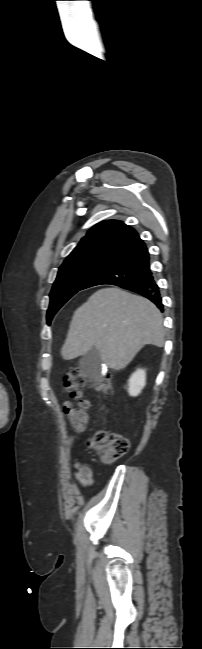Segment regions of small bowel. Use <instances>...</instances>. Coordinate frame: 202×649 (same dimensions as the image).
Instances as JSON below:
<instances>
[{
  "label": "small bowel",
  "instance_id": "c3829d8e",
  "mask_svg": "<svg viewBox=\"0 0 202 649\" xmlns=\"http://www.w3.org/2000/svg\"><path fill=\"white\" fill-rule=\"evenodd\" d=\"M74 439L75 436L70 435L68 437L69 444H71ZM73 466L75 469V472L73 473V478L79 483V485L83 489L91 488L94 484L92 469L88 465L78 460L74 462Z\"/></svg>",
  "mask_w": 202,
  "mask_h": 649
}]
</instances>
